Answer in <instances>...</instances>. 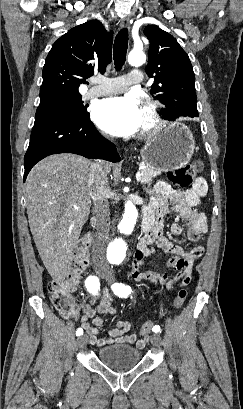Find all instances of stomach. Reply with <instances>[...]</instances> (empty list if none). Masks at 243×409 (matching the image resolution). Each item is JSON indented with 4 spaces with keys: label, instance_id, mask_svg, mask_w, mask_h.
I'll return each mask as SVG.
<instances>
[{
    "label": "stomach",
    "instance_id": "obj_1",
    "mask_svg": "<svg viewBox=\"0 0 243 409\" xmlns=\"http://www.w3.org/2000/svg\"><path fill=\"white\" fill-rule=\"evenodd\" d=\"M195 141L190 129L175 122L149 138L141 150L143 162L152 169L167 172L188 164L193 156Z\"/></svg>",
    "mask_w": 243,
    "mask_h": 409
}]
</instances>
